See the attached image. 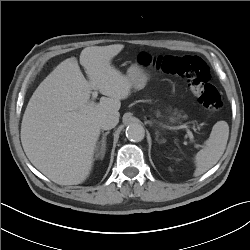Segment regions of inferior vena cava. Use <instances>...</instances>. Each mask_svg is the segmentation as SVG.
<instances>
[{
	"label": "inferior vena cava",
	"instance_id": "inferior-vena-cava-1",
	"mask_svg": "<svg viewBox=\"0 0 250 250\" xmlns=\"http://www.w3.org/2000/svg\"><path fill=\"white\" fill-rule=\"evenodd\" d=\"M119 122V118L117 116L114 115H108L103 117L100 122V128L103 130H110L112 128H114Z\"/></svg>",
	"mask_w": 250,
	"mask_h": 250
}]
</instances>
